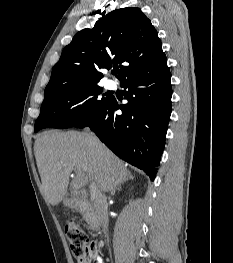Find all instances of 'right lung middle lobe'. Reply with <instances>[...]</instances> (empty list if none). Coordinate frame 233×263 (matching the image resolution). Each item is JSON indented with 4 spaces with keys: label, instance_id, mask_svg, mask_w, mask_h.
Here are the masks:
<instances>
[{
    "label": "right lung middle lobe",
    "instance_id": "1",
    "mask_svg": "<svg viewBox=\"0 0 233 263\" xmlns=\"http://www.w3.org/2000/svg\"><path fill=\"white\" fill-rule=\"evenodd\" d=\"M102 91L95 84L44 98L34 131L47 127L69 128L78 125L109 102L111 97L99 96Z\"/></svg>",
    "mask_w": 233,
    "mask_h": 263
}]
</instances>
